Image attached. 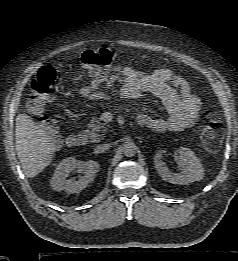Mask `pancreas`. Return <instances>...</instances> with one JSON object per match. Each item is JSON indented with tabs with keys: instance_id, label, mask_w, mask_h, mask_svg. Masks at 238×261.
Segmentation results:
<instances>
[{
	"instance_id": "pancreas-1",
	"label": "pancreas",
	"mask_w": 238,
	"mask_h": 261,
	"mask_svg": "<svg viewBox=\"0 0 238 261\" xmlns=\"http://www.w3.org/2000/svg\"><path fill=\"white\" fill-rule=\"evenodd\" d=\"M101 121V118L92 117L88 124V129L85 130L89 138L94 142H99L104 138L103 135L98 134L99 132L105 133L107 131V123H102Z\"/></svg>"
}]
</instances>
